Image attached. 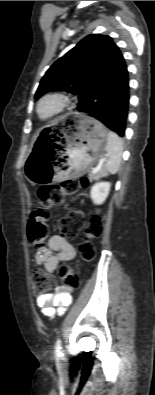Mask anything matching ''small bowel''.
Segmentation results:
<instances>
[{
  "label": "small bowel",
  "instance_id": "1",
  "mask_svg": "<svg viewBox=\"0 0 155 395\" xmlns=\"http://www.w3.org/2000/svg\"><path fill=\"white\" fill-rule=\"evenodd\" d=\"M75 256L74 246L63 236L54 235L45 246L37 250L35 262L43 266L47 272L53 273L60 263L71 261ZM36 302L46 316L62 314L72 302V289L65 286L57 287L51 293L39 295Z\"/></svg>",
  "mask_w": 155,
  "mask_h": 395
}]
</instances>
